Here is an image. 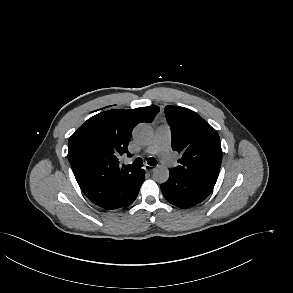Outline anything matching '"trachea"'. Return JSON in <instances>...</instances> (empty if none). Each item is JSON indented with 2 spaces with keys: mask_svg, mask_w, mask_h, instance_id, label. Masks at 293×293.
Returning a JSON list of instances; mask_svg holds the SVG:
<instances>
[{
  "mask_svg": "<svg viewBox=\"0 0 293 293\" xmlns=\"http://www.w3.org/2000/svg\"><path fill=\"white\" fill-rule=\"evenodd\" d=\"M147 164L151 165V166H156L157 165V160L155 158H148L147 159ZM133 167L135 168H141L143 166V160L141 158H137L134 162H133Z\"/></svg>",
  "mask_w": 293,
  "mask_h": 293,
  "instance_id": "3493384b",
  "label": "trachea"
}]
</instances>
